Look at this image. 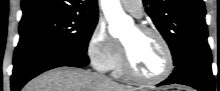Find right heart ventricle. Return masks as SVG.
<instances>
[{
  "instance_id": "obj_1",
  "label": "right heart ventricle",
  "mask_w": 220,
  "mask_h": 91,
  "mask_svg": "<svg viewBox=\"0 0 220 91\" xmlns=\"http://www.w3.org/2000/svg\"><path fill=\"white\" fill-rule=\"evenodd\" d=\"M113 74L117 77L123 76L122 59L121 56L117 61L116 65L113 67Z\"/></svg>"
}]
</instances>
